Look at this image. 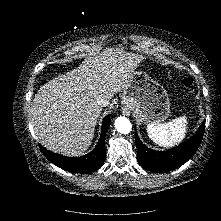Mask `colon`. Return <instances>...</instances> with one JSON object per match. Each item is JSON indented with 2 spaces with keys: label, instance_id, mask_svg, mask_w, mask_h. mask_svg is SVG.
Segmentation results:
<instances>
[{
  "label": "colon",
  "instance_id": "obj_1",
  "mask_svg": "<svg viewBox=\"0 0 221 221\" xmlns=\"http://www.w3.org/2000/svg\"><path fill=\"white\" fill-rule=\"evenodd\" d=\"M181 84L187 89H191L194 85V79L191 76L182 79Z\"/></svg>",
  "mask_w": 221,
  "mask_h": 221
}]
</instances>
